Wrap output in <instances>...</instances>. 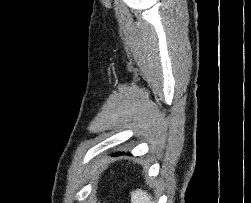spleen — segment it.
<instances>
[{"label": "spleen", "mask_w": 251, "mask_h": 203, "mask_svg": "<svg viewBox=\"0 0 251 203\" xmlns=\"http://www.w3.org/2000/svg\"><path fill=\"white\" fill-rule=\"evenodd\" d=\"M147 192L138 189L131 193V203H155Z\"/></svg>", "instance_id": "obj_1"}]
</instances>
